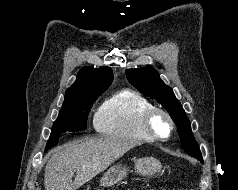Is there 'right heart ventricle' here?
I'll list each match as a JSON object with an SVG mask.
<instances>
[{"label":"right heart ventricle","instance_id":"e07e8e85","mask_svg":"<svg viewBox=\"0 0 238 190\" xmlns=\"http://www.w3.org/2000/svg\"><path fill=\"white\" fill-rule=\"evenodd\" d=\"M153 107L143 95L129 89H123L109 96L98 107L94 126L103 135L151 142L142 125V116Z\"/></svg>","mask_w":238,"mask_h":190}]
</instances>
